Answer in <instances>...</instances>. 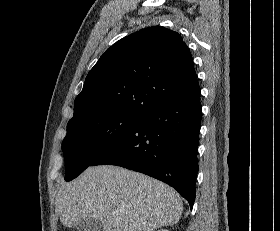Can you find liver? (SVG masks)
<instances>
[{"label": "liver", "instance_id": "liver-1", "mask_svg": "<svg viewBox=\"0 0 280 231\" xmlns=\"http://www.w3.org/2000/svg\"><path fill=\"white\" fill-rule=\"evenodd\" d=\"M59 217L66 227L93 217L103 231H154L174 225L183 201L167 183L118 165L87 167L57 191Z\"/></svg>", "mask_w": 280, "mask_h": 231}]
</instances>
